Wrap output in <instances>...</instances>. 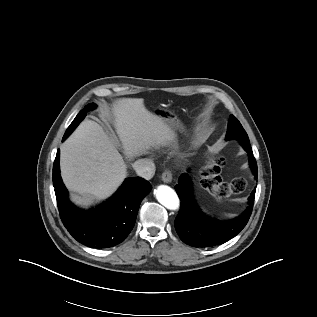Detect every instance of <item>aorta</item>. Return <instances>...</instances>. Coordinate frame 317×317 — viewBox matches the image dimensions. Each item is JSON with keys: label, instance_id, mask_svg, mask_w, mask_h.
<instances>
[{"label": "aorta", "instance_id": "1", "mask_svg": "<svg viewBox=\"0 0 317 317\" xmlns=\"http://www.w3.org/2000/svg\"><path fill=\"white\" fill-rule=\"evenodd\" d=\"M155 196L158 202L169 210H177L180 206L179 198L176 192L167 185H160L155 190Z\"/></svg>", "mask_w": 317, "mask_h": 317}]
</instances>
